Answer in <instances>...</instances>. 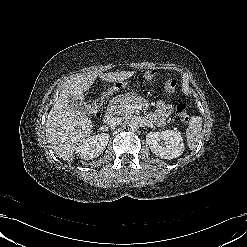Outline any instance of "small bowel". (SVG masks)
<instances>
[{"label":"small bowel","instance_id":"obj_1","mask_svg":"<svg viewBox=\"0 0 247 247\" xmlns=\"http://www.w3.org/2000/svg\"><path fill=\"white\" fill-rule=\"evenodd\" d=\"M154 74L155 71L149 70L145 72L144 76L147 80H151L154 77ZM172 111H173L172 105L159 102L157 104L156 111L152 115V119L157 125H162L166 120V118L172 113Z\"/></svg>","mask_w":247,"mask_h":247}]
</instances>
